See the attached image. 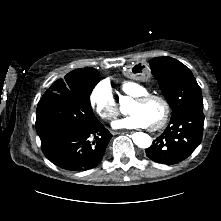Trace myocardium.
I'll return each mask as SVG.
<instances>
[{"label": "myocardium", "instance_id": "obj_1", "mask_svg": "<svg viewBox=\"0 0 221 221\" xmlns=\"http://www.w3.org/2000/svg\"><path fill=\"white\" fill-rule=\"evenodd\" d=\"M153 99L159 100L164 105V114L162 118L160 119V121L153 126H149L150 130L156 131V130L163 128L170 118L171 106H170L169 101L162 95L149 93V94L134 98V102L138 104H144Z\"/></svg>", "mask_w": 221, "mask_h": 221}]
</instances>
